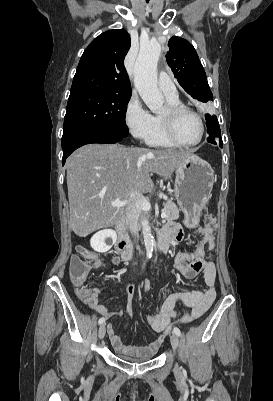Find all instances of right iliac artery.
<instances>
[{
    "label": "right iliac artery",
    "mask_w": 273,
    "mask_h": 401,
    "mask_svg": "<svg viewBox=\"0 0 273 401\" xmlns=\"http://www.w3.org/2000/svg\"><path fill=\"white\" fill-rule=\"evenodd\" d=\"M104 322H105V318H103V317L100 318L99 321H98L99 324H103Z\"/></svg>",
    "instance_id": "1"
}]
</instances>
